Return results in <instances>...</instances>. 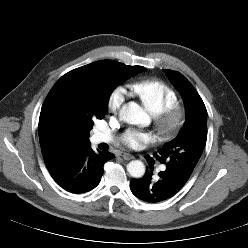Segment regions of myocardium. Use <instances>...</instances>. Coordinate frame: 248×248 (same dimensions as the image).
Wrapping results in <instances>:
<instances>
[{"instance_id": "obj_1", "label": "myocardium", "mask_w": 248, "mask_h": 248, "mask_svg": "<svg viewBox=\"0 0 248 248\" xmlns=\"http://www.w3.org/2000/svg\"><path fill=\"white\" fill-rule=\"evenodd\" d=\"M155 116V124L159 136L164 140L175 138L186 122L184 108L175 104Z\"/></svg>"}]
</instances>
